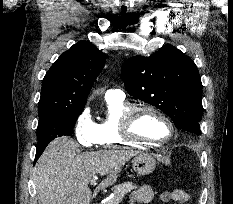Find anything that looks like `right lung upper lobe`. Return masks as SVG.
I'll return each mask as SVG.
<instances>
[{
    "label": "right lung upper lobe",
    "instance_id": "obj_1",
    "mask_svg": "<svg viewBox=\"0 0 233 204\" xmlns=\"http://www.w3.org/2000/svg\"><path fill=\"white\" fill-rule=\"evenodd\" d=\"M105 60V54L88 41L64 52L43 79L39 117L83 109Z\"/></svg>",
    "mask_w": 233,
    "mask_h": 204
}]
</instances>
